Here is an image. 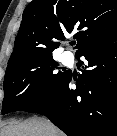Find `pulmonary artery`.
Returning <instances> with one entry per match:
<instances>
[{"label":"pulmonary artery","instance_id":"obj_1","mask_svg":"<svg viewBox=\"0 0 117 136\" xmlns=\"http://www.w3.org/2000/svg\"><path fill=\"white\" fill-rule=\"evenodd\" d=\"M63 60L65 62H67V63L70 62V60H71L70 54L69 53H64Z\"/></svg>","mask_w":117,"mask_h":136}]
</instances>
